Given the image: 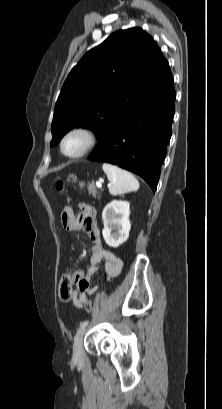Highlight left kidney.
I'll return each instance as SVG.
<instances>
[{"instance_id": "left-kidney-1", "label": "left kidney", "mask_w": 222, "mask_h": 409, "mask_svg": "<svg viewBox=\"0 0 222 409\" xmlns=\"http://www.w3.org/2000/svg\"><path fill=\"white\" fill-rule=\"evenodd\" d=\"M129 214L130 205L126 201L112 200L105 206L102 212V235L110 247H118L127 240L131 229Z\"/></svg>"}]
</instances>
